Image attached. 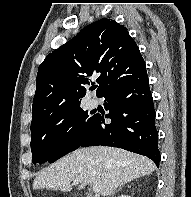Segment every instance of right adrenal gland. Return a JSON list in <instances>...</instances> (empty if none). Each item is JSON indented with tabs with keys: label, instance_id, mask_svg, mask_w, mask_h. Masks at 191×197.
<instances>
[{
	"label": "right adrenal gland",
	"instance_id": "obj_1",
	"mask_svg": "<svg viewBox=\"0 0 191 197\" xmlns=\"http://www.w3.org/2000/svg\"><path fill=\"white\" fill-rule=\"evenodd\" d=\"M122 187H119L117 191H119Z\"/></svg>",
	"mask_w": 191,
	"mask_h": 197
}]
</instances>
